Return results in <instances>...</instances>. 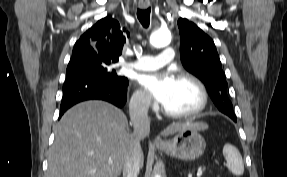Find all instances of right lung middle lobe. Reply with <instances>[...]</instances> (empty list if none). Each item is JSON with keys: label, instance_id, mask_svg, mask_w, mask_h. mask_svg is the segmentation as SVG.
<instances>
[{"label": "right lung middle lobe", "instance_id": "dd1d6c3e", "mask_svg": "<svg viewBox=\"0 0 287 177\" xmlns=\"http://www.w3.org/2000/svg\"><path fill=\"white\" fill-rule=\"evenodd\" d=\"M116 63L109 60H103L98 58L80 59L73 62H69L66 75L80 74V73H92L101 77L111 80L126 79L117 74L115 69L111 66Z\"/></svg>", "mask_w": 287, "mask_h": 177}]
</instances>
